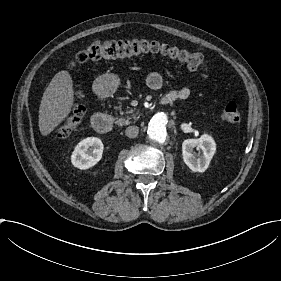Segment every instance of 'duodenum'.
I'll return each instance as SVG.
<instances>
[{
	"mask_svg": "<svg viewBox=\"0 0 281 281\" xmlns=\"http://www.w3.org/2000/svg\"><path fill=\"white\" fill-rule=\"evenodd\" d=\"M104 96H105L104 92L99 93V97H104ZM162 102L165 103L164 100H162ZM92 125L99 133L107 134L113 128V120L109 115L100 112V113H96L92 117Z\"/></svg>",
	"mask_w": 281,
	"mask_h": 281,
	"instance_id": "duodenum-1",
	"label": "duodenum"
}]
</instances>
